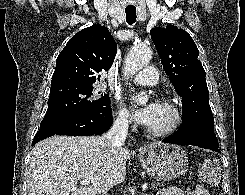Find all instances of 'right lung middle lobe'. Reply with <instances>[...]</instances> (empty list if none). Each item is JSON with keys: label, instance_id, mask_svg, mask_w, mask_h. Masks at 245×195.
<instances>
[{"label": "right lung middle lobe", "instance_id": "right-lung-middle-lobe-1", "mask_svg": "<svg viewBox=\"0 0 245 195\" xmlns=\"http://www.w3.org/2000/svg\"><path fill=\"white\" fill-rule=\"evenodd\" d=\"M99 106H110V97L108 94L96 95L93 86L56 90L50 93L48 109L40 127L68 116L91 111Z\"/></svg>", "mask_w": 245, "mask_h": 195}]
</instances>
